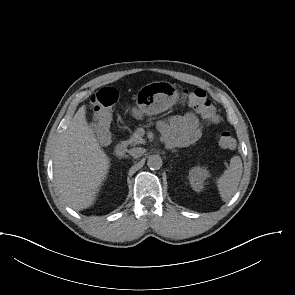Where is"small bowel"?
<instances>
[{"instance_id":"obj_1","label":"small bowel","mask_w":295,"mask_h":295,"mask_svg":"<svg viewBox=\"0 0 295 295\" xmlns=\"http://www.w3.org/2000/svg\"><path fill=\"white\" fill-rule=\"evenodd\" d=\"M134 113L140 114L137 109L134 110ZM158 129L168 146L184 147L199 139L202 133V124L194 114L187 113L159 121Z\"/></svg>"}]
</instances>
